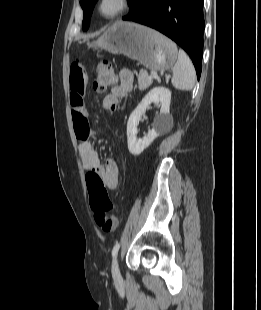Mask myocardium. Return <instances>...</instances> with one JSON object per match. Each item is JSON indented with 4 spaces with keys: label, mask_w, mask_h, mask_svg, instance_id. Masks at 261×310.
Masks as SVG:
<instances>
[{
    "label": "myocardium",
    "mask_w": 261,
    "mask_h": 310,
    "mask_svg": "<svg viewBox=\"0 0 261 310\" xmlns=\"http://www.w3.org/2000/svg\"><path fill=\"white\" fill-rule=\"evenodd\" d=\"M109 0H98L96 4V11L105 20H113L129 10L131 0H113L116 7L111 12H105L103 6Z\"/></svg>",
    "instance_id": "myocardium-1"
}]
</instances>
